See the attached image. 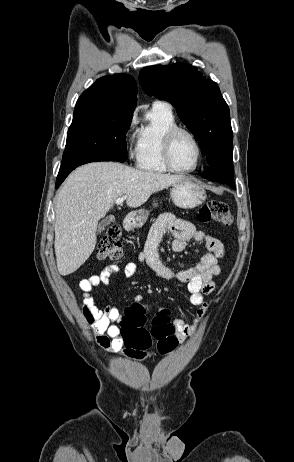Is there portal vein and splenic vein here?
<instances>
[{"instance_id": "1", "label": "portal vein and splenic vein", "mask_w": 294, "mask_h": 462, "mask_svg": "<svg viewBox=\"0 0 294 462\" xmlns=\"http://www.w3.org/2000/svg\"><path fill=\"white\" fill-rule=\"evenodd\" d=\"M126 198H127V196L119 197V198L116 199L115 203H116L117 205H120V204L123 203V201H124Z\"/></svg>"}]
</instances>
